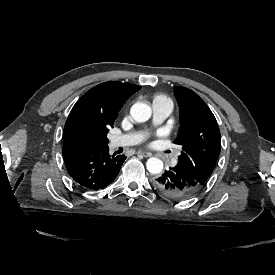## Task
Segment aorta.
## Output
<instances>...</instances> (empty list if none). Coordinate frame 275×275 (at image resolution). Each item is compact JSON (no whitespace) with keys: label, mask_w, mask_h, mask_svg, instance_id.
<instances>
[{"label":"aorta","mask_w":275,"mask_h":275,"mask_svg":"<svg viewBox=\"0 0 275 275\" xmlns=\"http://www.w3.org/2000/svg\"><path fill=\"white\" fill-rule=\"evenodd\" d=\"M130 116L138 123L146 122L151 116V108L145 103H134L130 108ZM149 173L157 175L163 170V161L158 158H149L146 162Z\"/></svg>","instance_id":"1"}]
</instances>
